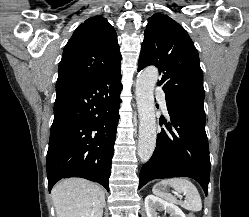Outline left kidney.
I'll return each instance as SVG.
<instances>
[{
    "instance_id": "obj_1",
    "label": "left kidney",
    "mask_w": 249,
    "mask_h": 217,
    "mask_svg": "<svg viewBox=\"0 0 249 217\" xmlns=\"http://www.w3.org/2000/svg\"><path fill=\"white\" fill-rule=\"evenodd\" d=\"M145 210L147 217H160L157 211H165L170 217H186L183 211L176 205L169 203L157 196L149 194L145 198Z\"/></svg>"
}]
</instances>
